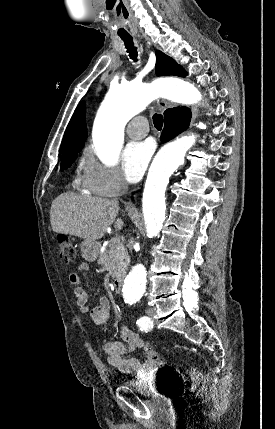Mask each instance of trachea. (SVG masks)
<instances>
[{"label":"trachea","instance_id":"obj_1","mask_svg":"<svg viewBox=\"0 0 275 429\" xmlns=\"http://www.w3.org/2000/svg\"><path fill=\"white\" fill-rule=\"evenodd\" d=\"M124 41L125 47L127 48V52L132 60L137 61V48L134 47L133 39L131 37H122ZM153 123L155 128L160 131L163 126V116L161 114L153 115Z\"/></svg>","mask_w":275,"mask_h":429}]
</instances>
